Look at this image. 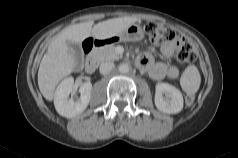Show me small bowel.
I'll use <instances>...</instances> for the list:
<instances>
[{"label":"small bowel","mask_w":238,"mask_h":158,"mask_svg":"<svg viewBox=\"0 0 238 158\" xmlns=\"http://www.w3.org/2000/svg\"><path fill=\"white\" fill-rule=\"evenodd\" d=\"M179 47V41L166 42L162 46L161 52L165 58L169 59L175 55ZM137 65L141 69L146 70L150 77L155 80H161L165 77L177 79L180 74V71L176 66L168 65L163 62H156L152 55L148 52H145L139 56L137 59Z\"/></svg>","instance_id":"c3829d8e"}]
</instances>
